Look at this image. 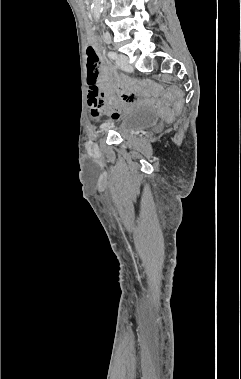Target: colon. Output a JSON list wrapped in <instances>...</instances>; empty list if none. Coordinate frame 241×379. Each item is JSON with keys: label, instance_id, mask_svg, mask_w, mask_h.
<instances>
[{"label": "colon", "instance_id": "obj_1", "mask_svg": "<svg viewBox=\"0 0 241 379\" xmlns=\"http://www.w3.org/2000/svg\"><path fill=\"white\" fill-rule=\"evenodd\" d=\"M86 66L88 83H97L99 75V57L92 45H89L86 49ZM141 94V99L129 98L125 102H127L130 106L131 104H134L133 106L136 109H147L149 105L158 108L165 118H172L176 112L181 110L183 105L181 99L172 98L173 96H176L175 91L170 93V96L172 97H156L155 94H150L148 90H143ZM121 97L122 94L120 92L104 93V99L108 103H118L121 101ZM169 104H172L173 107Z\"/></svg>", "mask_w": 241, "mask_h": 379}]
</instances>
